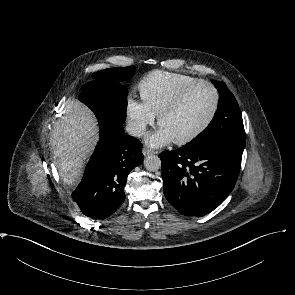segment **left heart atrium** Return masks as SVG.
I'll list each match as a JSON object with an SVG mask.
<instances>
[{"instance_id": "1", "label": "left heart atrium", "mask_w": 295, "mask_h": 295, "mask_svg": "<svg viewBox=\"0 0 295 295\" xmlns=\"http://www.w3.org/2000/svg\"><path fill=\"white\" fill-rule=\"evenodd\" d=\"M174 140L173 135L162 125L146 137V143L151 147H161Z\"/></svg>"}]
</instances>
